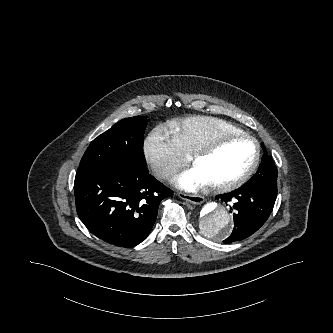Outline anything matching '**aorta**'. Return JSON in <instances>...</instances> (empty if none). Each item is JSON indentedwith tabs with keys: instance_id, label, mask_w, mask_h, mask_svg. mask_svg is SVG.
<instances>
[{
	"instance_id": "aorta-1",
	"label": "aorta",
	"mask_w": 333,
	"mask_h": 333,
	"mask_svg": "<svg viewBox=\"0 0 333 333\" xmlns=\"http://www.w3.org/2000/svg\"><path fill=\"white\" fill-rule=\"evenodd\" d=\"M200 231L209 237L223 238L232 226L229 210L220 200L204 204L197 216Z\"/></svg>"
}]
</instances>
